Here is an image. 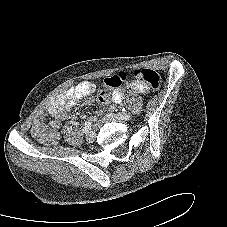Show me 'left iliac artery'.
I'll use <instances>...</instances> for the list:
<instances>
[{
	"label": "left iliac artery",
	"instance_id": "left-iliac-artery-1",
	"mask_svg": "<svg viewBox=\"0 0 227 227\" xmlns=\"http://www.w3.org/2000/svg\"><path fill=\"white\" fill-rule=\"evenodd\" d=\"M122 114H127L125 108L122 109Z\"/></svg>",
	"mask_w": 227,
	"mask_h": 227
}]
</instances>
